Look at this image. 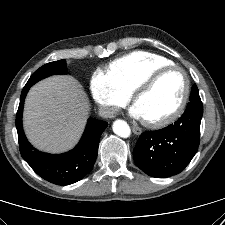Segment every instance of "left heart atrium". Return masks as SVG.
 Here are the masks:
<instances>
[{
  "mask_svg": "<svg viewBox=\"0 0 225 225\" xmlns=\"http://www.w3.org/2000/svg\"><path fill=\"white\" fill-rule=\"evenodd\" d=\"M130 114L135 118H142L140 111L135 105L131 107Z\"/></svg>",
  "mask_w": 225,
  "mask_h": 225,
  "instance_id": "obj_1",
  "label": "left heart atrium"
}]
</instances>
